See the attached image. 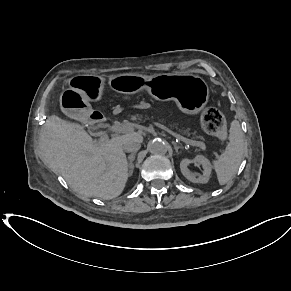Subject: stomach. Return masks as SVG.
Wrapping results in <instances>:
<instances>
[{
	"label": "stomach",
	"mask_w": 291,
	"mask_h": 291,
	"mask_svg": "<svg viewBox=\"0 0 291 291\" xmlns=\"http://www.w3.org/2000/svg\"><path fill=\"white\" fill-rule=\"evenodd\" d=\"M104 78L96 75H78L69 80L70 87L60 96L61 110L68 116L84 119L91 111L89 100L99 99ZM112 89L121 93H135L146 89L159 100H174L179 109L190 115L198 114L206 106L209 89L199 76L191 74H141L124 73L109 78Z\"/></svg>",
	"instance_id": "obj_1"
}]
</instances>
